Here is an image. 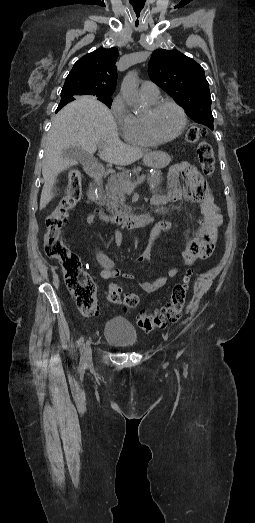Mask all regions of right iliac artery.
Instances as JSON below:
<instances>
[{
  "mask_svg": "<svg viewBox=\"0 0 255 523\" xmlns=\"http://www.w3.org/2000/svg\"><path fill=\"white\" fill-rule=\"evenodd\" d=\"M78 348H79V351H80V355H81V358H80V365L81 367H83L86 363V359H85V345H84V339L83 337H81L79 340H78Z\"/></svg>",
  "mask_w": 255,
  "mask_h": 523,
  "instance_id": "82829eb1",
  "label": "right iliac artery"
}]
</instances>
